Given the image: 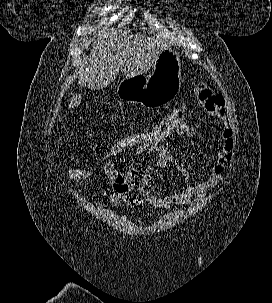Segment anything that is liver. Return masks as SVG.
I'll return each instance as SVG.
<instances>
[{
    "label": "liver",
    "mask_w": 272,
    "mask_h": 303,
    "mask_svg": "<svg viewBox=\"0 0 272 303\" xmlns=\"http://www.w3.org/2000/svg\"><path fill=\"white\" fill-rule=\"evenodd\" d=\"M167 47V41L161 37L103 29L93 39L90 55L81 66L78 83L80 87L95 90L107 87L120 71L126 78L142 75L154 66ZM81 99V95H73L69 107H77Z\"/></svg>",
    "instance_id": "obj_1"
}]
</instances>
